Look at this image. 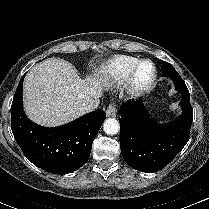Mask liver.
Wrapping results in <instances>:
<instances>
[{"label":"liver","mask_w":209,"mask_h":209,"mask_svg":"<svg viewBox=\"0 0 209 209\" xmlns=\"http://www.w3.org/2000/svg\"><path fill=\"white\" fill-rule=\"evenodd\" d=\"M106 81L102 70L95 69L93 76L81 79L69 62L48 58L32 67L24 79L26 115L42 126L67 124L84 114L82 106L99 103Z\"/></svg>","instance_id":"1"}]
</instances>
